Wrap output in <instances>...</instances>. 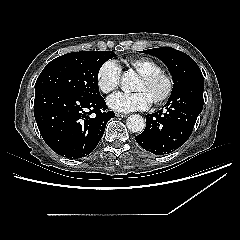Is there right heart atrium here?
Segmentation results:
<instances>
[{
	"mask_svg": "<svg viewBox=\"0 0 240 240\" xmlns=\"http://www.w3.org/2000/svg\"><path fill=\"white\" fill-rule=\"evenodd\" d=\"M120 68L113 60L104 62L96 74V82L102 93H110L115 90L120 82Z\"/></svg>",
	"mask_w": 240,
	"mask_h": 240,
	"instance_id": "d8ad5b80",
	"label": "right heart atrium"
}]
</instances>
